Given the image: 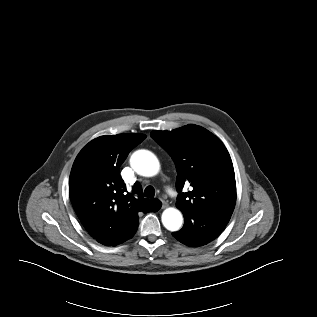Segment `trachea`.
Masks as SVG:
<instances>
[{
	"mask_svg": "<svg viewBox=\"0 0 317 317\" xmlns=\"http://www.w3.org/2000/svg\"><path fill=\"white\" fill-rule=\"evenodd\" d=\"M144 196L153 198L155 196V189L152 186H147L144 190Z\"/></svg>",
	"mask_w": 317,
	"mask_h": 317,
	"instance_id": "1",
	"label": "trachea"
}]
</instances>
